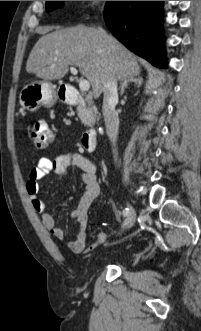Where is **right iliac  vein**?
Instances as JSON below:
<instances>
[{
  "instance_id": "obj_1",
  "label": "right iliac vein",
  "mask_w": 201,
  "mask_h": 331,
  "mask_svg": "<svg viewBox=\"0 0 201 331\" xmlns=\"http://www.w3.org/2000/svg\"><path fill=\"white\" fill-rule=\"evenodd\" d=\"M129 214L127 215V218L124 223V230L130 229L134 223L136 218V213L134 208L131 205H128Z\"/></svg>"
}]
</instances>
